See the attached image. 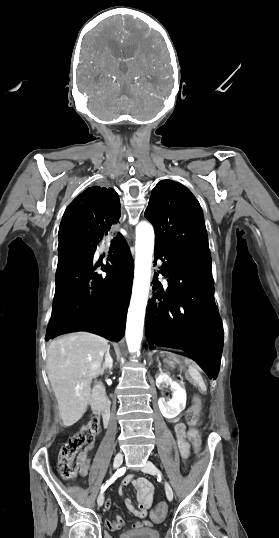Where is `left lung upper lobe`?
Wrapping results in <instances>:
<instances>
[{
	"label": "left lung upper lobe",
	"mask_w": 279,
	"mask_h": 538,
	"mask_svg": "<svg viewBox=\"0 0 279 538\" xmlns=\"http://www.w3.org/2000/svg\"><path fill=\"white\" fill-rule=\"evenodd\" d=\"M144 216L155 229V246L183 256H210L203 212L194 195L172 180L152 190Z\"/></svg>",
	"instance_id": "left-lung-upper-lobe-1"
}]
</instances>
